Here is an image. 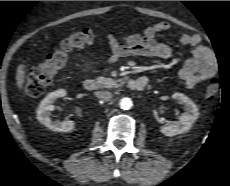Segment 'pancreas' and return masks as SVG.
I'll list each match as a JSON object with an SVG mask.
<instances>
[{
	"label": "pancreas",
	"instance_id": "obj_1",
	"mask_svg": "<svg viewBox=\"0 0 230 186\" xmlns=\"http://www.w3.org/2000/svg\"><path fill=\"white\" fill-rule=\"evenodd\" d=\"M96 80L99 88H117L122 85L121 80H113L112 78L99 77Z\"/></svg>",
	"mask_w": 230,
	"mask_h": 186
}]
</instances>
